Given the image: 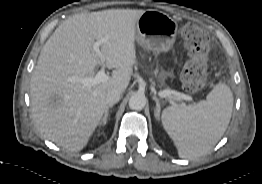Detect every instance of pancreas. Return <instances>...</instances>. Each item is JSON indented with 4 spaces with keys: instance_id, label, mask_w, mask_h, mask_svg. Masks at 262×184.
<instances>
[{
    "instance_id": "obj_1",
    "label": "pancreas",
    "mask_w": 262,
    "mask_h": 184,
    "mask_svg": "<svg viewBox=\"0 0 262 184\" xmlns=\"http://www.w3.org/2000/svg\"><path fill=\"white\" fill-rule=\"evenodd\" d=\"M166 90H169V89H166ZM166 90H165V91H166ZM169 98H171V99H175L174 96H172V95H171Z\"/></svg>"
}]
</instances>
